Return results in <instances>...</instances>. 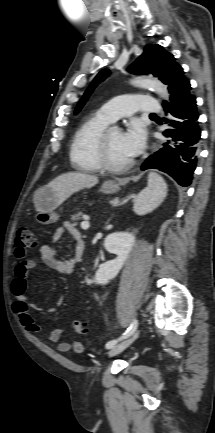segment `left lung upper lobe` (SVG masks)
<instances>
[{
  "mask_svg": "<svg viewBox=\"0 0 215 433\" xmlns=\"http://www.w3.org/2000/svg\"><path fill=\"white\" fill-rule=\"evenodd\" d=\"M136 75L153 74L158 77L164 84L171 88L184 77L183 69L175 62L172 54L165 51L160 45H147L143 54L128 68ZM109 75V70H102L92 81L84 96L79 101L75 113L77 114L93 89Z\"/></svg>",
  "mask_w": 215,
  "mask_h": 433,
  "instance_id": "5c2ea615",
  "label": "left lung upper lobe"
}]
</instances>
